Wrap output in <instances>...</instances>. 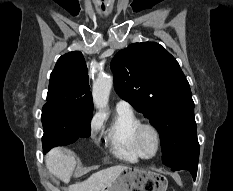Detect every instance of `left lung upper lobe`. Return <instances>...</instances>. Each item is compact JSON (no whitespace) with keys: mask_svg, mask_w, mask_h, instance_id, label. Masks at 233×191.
<instances>
[{"mask_svg":"<svg viewBox=\"0 0 233 191\" xmlns=\"http://www.w3.org/2000/svg\"><path fill=\"white\" fill-rule=\"evenodd\" d=\"M111 69L118 95L160 133L163 163L198 158L194 102L176 59L158 43H134L114 56Z\"/></svg>","mask_w":233,"mask_h":191,"instance_id":"1","label":"left lung upper lobe"}]
</instances>
